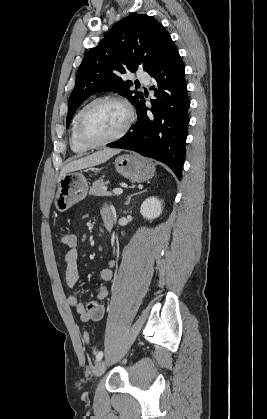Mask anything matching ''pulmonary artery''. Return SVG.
Segmentation results:
<instances>
[{"mask_svg": "<svg viewBox=\"0 0 267 419\" xmlns=\"http://www.w3.org/2000/svg\"><path fill=\"white\" fill-rule=\"evenodd\" d=\"M137 78L144 83H149L150 82V76L145 72H138L137 73Z\"/></svg>", "mask_w": 267, "mask_h": 419, "instance_id": "obj_1", "label": "pulmonary artery"}]
</instances>
